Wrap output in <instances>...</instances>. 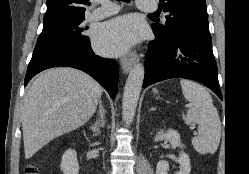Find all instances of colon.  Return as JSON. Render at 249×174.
I'll list each match as a JSON object with an SVG mask.
<instances>
[{
    "label": "colon",
    "instance_id": "colon-1",
    "mask_svg": "<svg viewBox=\"0 0 249 174\" xmlns=\"http://www.w3.org/2000/svg\"><path fill=\"white\" fill-rule=\"evenodd\" d=\"M24 173L25 174H40V171L35 163H29L26 166Z\"/></svg>",
    "mask_w": 249,
    "mask_h": 174
}]
</instances>
